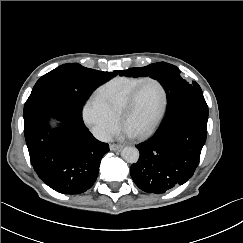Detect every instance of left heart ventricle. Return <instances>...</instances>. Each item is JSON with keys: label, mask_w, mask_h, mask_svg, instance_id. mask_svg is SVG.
Here are the masks:
<instances>
[{"label": "left heart ventricle", "mask_w": 243, "mask_h": 243, "mask_svg": "<svg viewBox=\"0 0 243 243\" xmlns=\"http://www.w3.org/2000/svg\"><path fill=\"white\" fill-rule=\"evenodd\" d=\"M162 103V91L155 82L144 83L132 108L127 112L123 125L135 134L145 130L153 122Z\"/></svg>", "instance_id": "b2bd125f"}]
</instances>
